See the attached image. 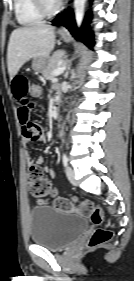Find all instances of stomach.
<instances>
[{"mask_svg": "<svg viewBox=\"0 0 134 281\" xmlns=\"http://www.w3.org/2000/svg\"><path fill=\"white\" fill-rule=\"evenodd\" d=\"M60 35H61L62 39L66 42H69L71 39V36L69 34L60 33ZM47 64H48V57L47 58H44V57L34 58L33 62H32V68L35 71L42 72L45 69V67L47 66Z\"/></svg>", "mask_w": 134, "mask_h": 281, "instance_id": "0dacf381", "label": "stomach"}]
</instances>
